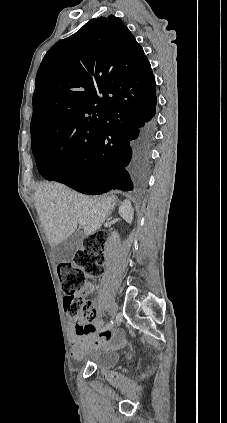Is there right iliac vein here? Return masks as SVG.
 I'll return each mask as SVG.
<instances>
[{
    "mask_svg": "<svg viewBox=\"0 0 227 423\" xmlns=\"http://www.w3.org/2000/svg\"><path fill=\"white\" fill-rule=\"evenodd\" d=\"M117 312V307L113 304L111 307V317L113 318Z\"/></svg>",
    "mask_w": 227,
    "mask_h": 423,
    "instance_id": "63e3f726",
    "label": "right iliac vein"
}]
</instances>
